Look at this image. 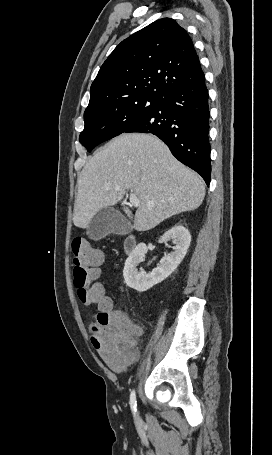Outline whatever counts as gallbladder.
<instances>
[{
	"label": "gallbladder",
	"instance_id": "bac80fb5",
	"mask_svg": "<svg viewBox=\"0 0 272 455\" xmlns=\"http://www.w3.org/2000/svg\"><path fill=\"white\" fill-rule=\"evenodd\" d=\"M131 230V224L119 211L112 207H104L89 223L87 235L90 239L100 240L109 234L125 235Z\"/></svg>",
	"mask_w": 272,
	"mask_h": 455
}]
</instances>
